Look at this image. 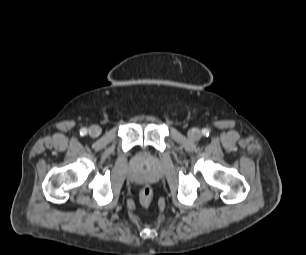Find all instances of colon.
Returning <instances> with one entry per match:
<instances>
[{"label": "colon", "mask_w": 306, "mask_h": 255, "mask_svg": "<svg viewBox=\"0 0 306 255\" xmlns=\"http://www.w3.org/2000/svg\"><path fill=\"white\" fill-rule=\"evenodd\" d=\"M153 191L148 185L144 186L139 194L140 203L144 207H148L152 201Z\"/></svg>", "instance_id": "5ec220e1"}]
</instances>
